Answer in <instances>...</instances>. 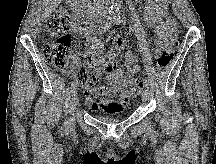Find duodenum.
Wrapping results in <instances>:
<instances>
[{
    "label": "duodenum",
    "mask_w": 216,
    "mask_h": 164,
    "mask_svg": "<svg viewBox=\"0 0 216 164\" xmlns=\"http://www.w3.org/2000/svg\"><path fill=\"white\" fill-rule=\"evenodd\" d=\"M71 1H72L73 9L77 13L87 18H91L95 16L97 7L95 6V4L90 3L89 0H71Z\"/></svg>",
    "instance_id": "duodenum-1"
}]
</instances>
